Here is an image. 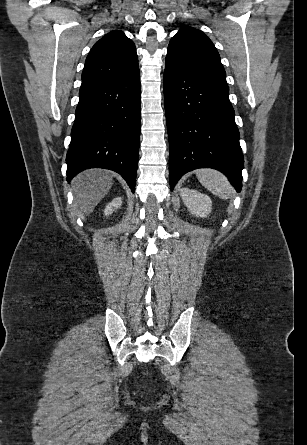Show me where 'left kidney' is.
I'll use <instances>...</instances> for the list:
<instances>
[{
  "instance_id": "left-kidney-1",
  "label": "left kidney",
  "mask_w": 307,
  "mask_h": 445,
  "mask_svg": "<svg viewBox=\"0 0 307 445\" xmlns=\"http://www.w3.org/2000/svg\"><path fill=\"white\" fill-rule=\"evenodd\" d=\"M180 194L188 210L195 216H207L211 212L212 200L207 194L193 188H181Z\"/></svg>"
}]
</instances>
